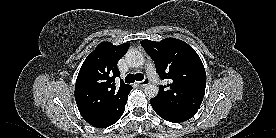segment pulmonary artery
Listing matches in <instances>:
<instances>
[{
	"mask_svg": "<svg viewBox=\"0 0 276 138\" xmlns=\"http://www.w3.org/2000/svg\"><path fill=\"white\" fill-rule=\"evenodd\" d=\"M147 73H148V77L149 79L155 83V84H159L161 82L159 76L157 75L154 66L150 63L147 66Z\"/></svg>",
	"mask_w": 276,
	"mask_h": 138,
	"instance_id": "1",
	"label": "pulmonary artery"
}]
</instances>
